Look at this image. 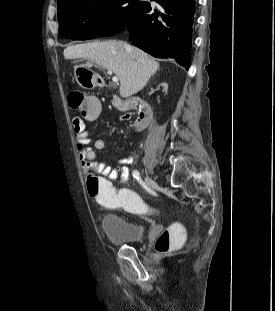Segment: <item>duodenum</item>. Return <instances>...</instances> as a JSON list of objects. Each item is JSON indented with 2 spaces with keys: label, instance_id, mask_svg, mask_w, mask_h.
<instances>
[{
  "label": "duodenum",
  "instance_id": "obj_1",
  "mask_svg": "<svg viewBox=\"0 0 275 311\" xmlns=\"http://www.w3.org/2000/svg\"><path fill=\"white\" fill-rule=\"evenodd\" d=\"M96 83L102 84L103 78L97 77ZM114 100L116 104L118 105V107L120 108H123L126 110L135 109L137 111L138 115L134 123L135 130L141 131L148 126L151 116H152V110L148 103L140 99H136V98L122 99V98L116 97L114 98Z\"/></svg>",
  "mask_w": 275,
  "mask_h": 311
}]
</instances>
